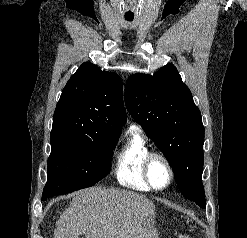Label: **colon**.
<instances>
[{
  "label": "colon",
  "instance_id": "colon-1",
  "mask_svg": "<svg viewBox=\"0 0 247 238\" xmlns=\"http://www.w3.org/2000/svg\"><path fill=\"white\" fill-rule=\"evenodd\" d=\"M179 238H192L189 235H181Z\"/></svg>",
  "mask_w": 247,
  "mask_h": 238
}]
</instances>
